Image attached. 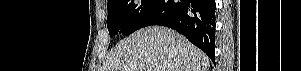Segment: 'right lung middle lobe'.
<instances>
[{
    "mask_svg": "<svg viewBox=\"0 0 301 71\" xmlns=\"http://www.w3.org/2000/svg\"><path fill=\"white\" fill-rule=\"evenodd\" d=\"M157 0H108L107 26L111 37L130 35L137 29Z\"/></svg>",
    "mask_w": 301,
    "mask_h": 71,
    "instance_id": "dd1d6c3e",
    "label": "right lung middle lobe"
}]
</instances>
